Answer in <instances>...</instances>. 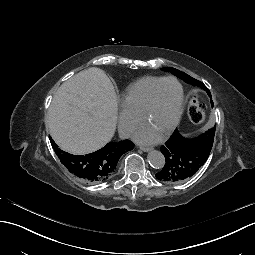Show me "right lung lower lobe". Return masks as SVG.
Returning <instances> with one entry per match:
<instances>
[{"label": "right lung lower lobe", "mask_w": 255, "mask_h": 255, "mask_svg": "<svg viewBox=\"0 0 255 255\" xmlns=\"http://www.w3.org/2000/svg\"><path fill=\"white\" fill-rule=\"evenodd\" d=\"M83 164L86 166L83 169V178L85 180H92L94 176L100 174V160L98 158L86 156L83 159Z\"/></svg>", "instance_id": "98d812e1"}]
</instances>
